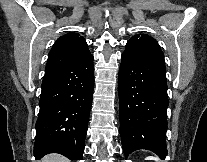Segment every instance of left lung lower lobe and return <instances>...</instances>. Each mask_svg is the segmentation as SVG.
<instances>
[{
	"mask_svg": "<svg viewBox=\"0 0 207 162\" xmlns=\"http://www.w3.org/2000/svg\"><path fill=\"white\" fill-rule=\"evenodd\" d=\"M118 92L125 157L147 149L165 159L168 108L165 66L123 54Z\"/></svg>",
	"mask_w": 207,
	"mask_h": 162,
	"instance_id": "left-lung-lower-lobe-1",
	"label": "left lung lower lobe"
}]
</instances>
